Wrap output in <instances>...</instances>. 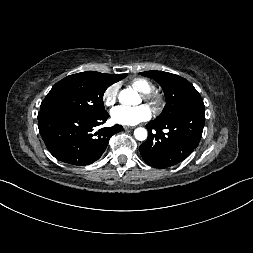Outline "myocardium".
Masks as SVG:
<instances>
[{
  "label": "myocardium",
  "instance_id": "myocardium-1",
  "mask_svg": "<svg viewBox=\"0 0 253 253\" xmlns=\"http://www.w3.org/2000/svg\"><path fill=\"white\" fill-rule=\"evenodd\" d=\"M142 97L156 111L160 110L165 102L164 95L157 90H151L150 92L143 93Z\"/></svg>",
  "mask_w": 253,
  "mask_h": 253
}]
</instances>
